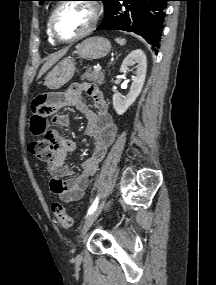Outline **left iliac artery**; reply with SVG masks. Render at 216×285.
<instances>
[{
	"label": "left iliac artery",
	"mask_w": 216,
	"mask_h": 285,
	"mask_svg": "<svg viewBox=\"0 0 216 285\" xmlns=\"http://www.w3.org/2000/svg\"><path fill=\"white\" fill-rule=\"evenodd\" d=\"M98 206V198H96L93 202V204L91 205V207L88 210V215H90Z\"/></svg>",
	"instance_id": "left-iliac-artery-1"
}]
</instances>
